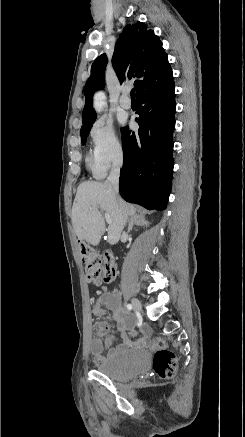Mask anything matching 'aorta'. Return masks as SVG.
I'll list each match as a JSON object with an SVG mask.
<instances>
[{
  "mask_svg": "<svg viewBox=\"0 0 245 437\" xmlns=\"http://www.w3.org/2000/svg\"><path fill=\"white\" fill-rule=\"evenodd\" d=\"M105 95L102 92H98L95 97H94V107L98 110L101 111L105 102Z\"/></svg>",
  "mask_w": 245,
  "mask_h": 437,
  "instance_id": "obj_1",
  "label": "aorta"
}]
</instances>
